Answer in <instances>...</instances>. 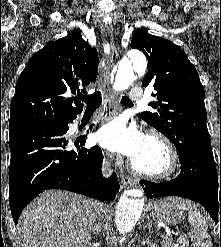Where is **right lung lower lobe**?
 <instances>
[{
    "instance_id": "obj_1",
    "label": "right lung lower lobe",
    "mask_w": 221,
    "mask_h": 247,
    "mask_svg": "<svg viewBox=\"0 0 221 247\" xmlns=\"http://www.w3.org/2000/svg\"><path fill=\"white\" fill-rule=\"evenodd\" d=\"M72 121L9 127V205L15 224L24 207L48 189L73 191L106 201L115 198L118 178L115 173L103 178L101 149L84 148V137L74 142L65 138Z\"/></svg>"
}]
</instances>
